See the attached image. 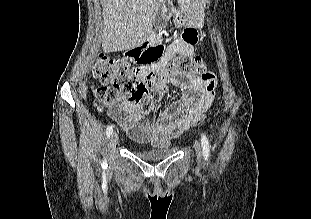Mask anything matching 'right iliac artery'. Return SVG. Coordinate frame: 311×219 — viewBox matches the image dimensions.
I'll return each mask as SVG.
<instances>
[{
    "label": "right iliac artery",
    "instance_id": "obj_1",
    "mask_svg": "<svg viewBox=\"0 0 311 219\" xmlns=\"http://www.w3.org/2000/svg\"><path fill=\"white\" fill-rule=\"evenodd\" d=\"M112 132H113V126L112 125L108 126L107 131H106V135H107L108 138L111 136ZM102 166L103 167H107V160L103 161Z\"/></svg>",
    "mask_w": 311,
    "mask_h": 219
}]
</instances>
